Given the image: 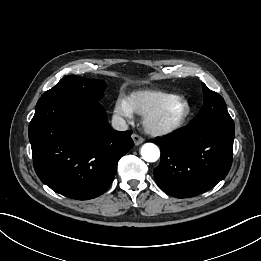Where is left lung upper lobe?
I'll return each mask as SVG.
<instances>
[{
    "label": "left lung upper lobe",
    "instance_id": "5c2ea615",
    "mask_svg": "<svg viewBox=\"0 0 261 261\" xmlns=\"http://www.w3.org/2000/svg\"><path fill=\"white\" fill-rule=\"evenodd\" d=\"M204 105L200 112L191 121V124L233 121L229 115L224 99L202 83Z\"/></svg>",
    "mask_w": 261,
    "mask_h": 261
}]
</instances>
